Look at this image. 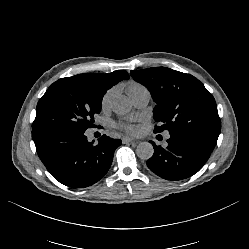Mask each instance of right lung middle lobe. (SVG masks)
Returning a JSON list of instances; mask_svg holds the SVG:
<instances>
[{"mask_svg": "<svg viewBox=\"0 0 249 249\" xmlns=\"http://www.w3.org/2000/svg\"><path fill=\"white\" fill-rule=\"evenodd\" d=\"M105 92L78 78L54 82L37 104L35 128H70L87 130L94 127V116L101 111Z\"/></svg>", "mask_w": 249, "mask_h": 249, "instance_id": "1", "label": "right lung middle lobe"}]
</instances>
